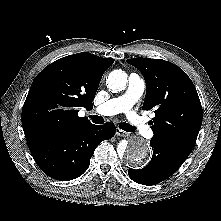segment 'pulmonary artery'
<instances>
[{
  "mask_svg": "<svg viewBox=\"0 0 221 221\" xmlns=\"http://www.w3.org/2000/svg\"><path fill=\"white\" fill-rule=\"evenodd\" d=\"M146 88L145 80L137 74H131L125 93L119 97L112 98L96 108V113L102 116H111L124 113L135 130L143 137H151L153 131L146 121L132 111V107L142 97Z\"/></svg>",
  "mask_w": 221,
  "mask_h": 221,
  "instance_id": "pulmonary-artery-1",
  "label": "pulmonary artery"
}]
</instances>
